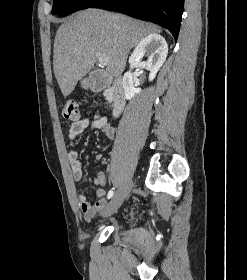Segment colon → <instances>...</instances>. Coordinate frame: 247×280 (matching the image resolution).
<instances>
[{
	"instance_id": "5ec220e1",
	"label": "colon",
	"mask_w": 247,
	"mask_h": 280,
	"mask_svg": "<svg viewBox=\"0 0 247 280\" xmlns=\"http://www.w3.org/2000/svg\"><path fill=\"white\" fill-rule=\"evenodd\" d=\"M63 115L69 120H78L80 117L79 106L75 101H68L63 109Z\"/></svg>"
}]
</instances>
